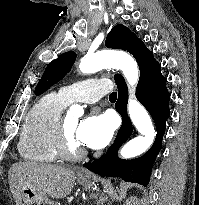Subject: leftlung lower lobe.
Masks as SVG:
<instances>
[{
    "instance_id": "left-lung-lower-lobe-1",
    "label": "left lung lower lobe",
    "mask_w": 199,
    "mask_h": 205,
    "mask_svg": "<svg viewBox=\"0 0 199 205\" xmlns=\"http://www.w3.org/2000/svg\"><path fill=\"white\" fill-rule=\"evenodd\" d=\"M126 51L135 57L139 65L140 78L136 88V97L148 110L155 122L157 130L155 142L140 158L123 160L117 156L120 146L132 133V123L127 114V85L124 78L118 75L115 77V81L119 96L115 108L123 118L122 126L107 153L100 159L83 166L102 177H121L127 182L147 185L153 162L162 147L165 124L170 116V94L166 87V79L161 74L160 64L139 38L135 37Z\"/></svg>"
}]
</instances>
